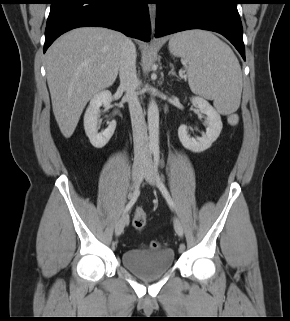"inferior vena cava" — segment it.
Here are the masks:
<instances>
[{"mask_svg":"<svg viewBox=\"0 0 290 321\" xmlns=\"http://www.w3.org/2000/svg\"><path fill=\"white\" fill-rule=\"evenodd\" d=\"M119 77L120 87L125 91L129 105L135 157L146 158L148 156L147 126L142 107L136 93V89L138 87L136 74V48L129 38H126L122 46Z\"/></svg>","mask_w":290,"mask_h":321,"instance_id":"602c4592","label":"inferior vena cava"}]
</instances>
